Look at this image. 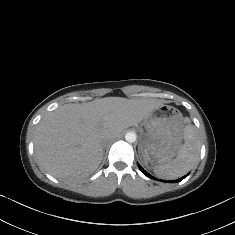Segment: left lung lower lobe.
Masks as SVG:
<instances>
[{
    "mask_svg": "<svg viewBox=\"0 0 235 235\" xmlns=\"http://www.w3.org/2000/svg\"><path fill=\"white\" fill-rule=\"evenodd\" d=\"M138 167H139V169H140L147 177L152 178V176H151L148 172H146L139 164H138ZM187 176H188V174L185 175L184 177H182V178L176 180V182H180L181 180H183V179H184L185 177H187ZM163 182H166V181H163ZM171 182H173V181H171Z\"/></svg>",
    "mask_w": 235,
    "mask_h": 235,
    "instance_id": "obj_1",
    "label": "left lung lower lobe"
}]
</instances>
